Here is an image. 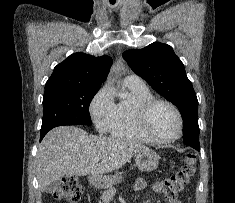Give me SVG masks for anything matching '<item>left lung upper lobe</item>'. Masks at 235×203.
<instances>
[{
	"mask_svg": "<svg viewBox=\"0 0 235 203\" xmlns=\"http://www.w3.org/2000/svg\"><path fill=\"white\" fill-rule=\"evenodd\" d=\"M123 57L137 75L177 106L184 131H191L193 143L199 145L198 100L184 65L172 47L154 42L143 49L127 50Z\"/></svg>",
	"mask_w": 235,
	"mask_h": 203,
	"instance_id": "5c2ea615",
	"label": "left lung upper lobe"
}]
</instances>
